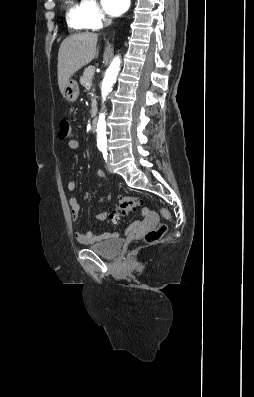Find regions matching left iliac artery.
Here are the masks:
<instances>
[{
	"mask_svg": "<svg viewBox=\"0 0 254 397\" xmlns=\"http://www.w3.org/2000/svg\"><path fill=\"white\" fill-rule=\"evenodd\" d=\"M103 151V157L105 160H107V150L106 149H102Z\"/></svg>",
	"mask_w": 254,
	"mask_h": 397,
	"instance_id": "left-iliac-artery-1",
	"label": "left iliac artery"
}]
</instances>
